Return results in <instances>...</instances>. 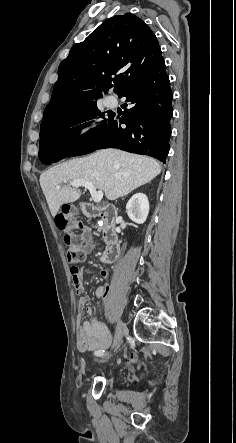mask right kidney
<instances>
[{"instance_id":"obj_1","label":"right kidney","mask_w":236,"mask_h":443,"mask_svg":"<svg viewBox=\"0 0 236 443\" xmlns=\"http://www.w3.org/2000/svg\"><path fill=\"white\" fill-rule=\"evenodd\" d=\"M126 210L129 218L138 223L143 224L149 213L148 198L143 193H137L131 197L126 204Z\"/></svg>"}]
</instances>
